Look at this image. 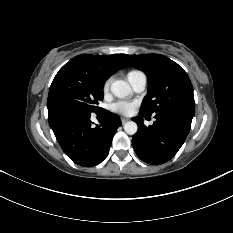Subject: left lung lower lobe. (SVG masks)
<instances>
[{
	"mask_svg": "<svg viewBox=\"0 0 233 233\" xmlns=\"http://www.w3.org/2000/svg\"><path fill=\"white\" fill-rule=\"evenodd\" d=\"M140 117L133 118L138 124V132L132 138L137 156L144 162L160 165L178 152L184 143L192 122V118L177 113H158L152 126L146 127L143 117L150 115L140 111Z\"/></svg>",
	"mask_w": 233,
	"mask_h": 233,
	"instance_id": "0a47b994",
	"label": "left lung lower lobe"
}]
</instances>
